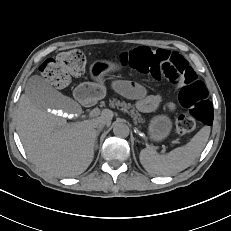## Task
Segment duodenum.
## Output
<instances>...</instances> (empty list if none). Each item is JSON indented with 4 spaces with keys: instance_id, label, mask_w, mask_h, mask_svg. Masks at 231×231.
<instances>
[{
    "instance_id": "obj_1",
    "label": "duodenum",
    "mask_w": 231,
    "mask_h": 231,
    "mask_svg": "<svg viewBox=\"0 0 231 231\" xmlns=\"http://www.w3.org/2000/svg\"><path fill=\"white\" fill-rule=\"evenodd\" d=\"M90 102H83V105L88 106Z\"/></svg>"
}]
</instances>
